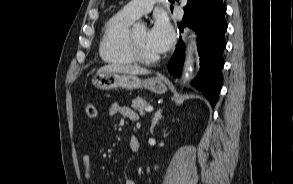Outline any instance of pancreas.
I'll use <instances>...</instances> for the list:
<instances>
[{
  "label": "pancreas",
  "mask_w": 293,
  "mask_h": 184,
  "mask_svg": "<svg viewBox=\"0 0 293 184\" xmlns=\"http://www.w3.org/2000/svg\"><path fill=\"white\" fill-rule=\"evenodd\" d=\"M146 106H147V102L141 97H137L136 99H134L132 101V105H131V107L134 110L139 111L140 113L143 112V110L146 108Z\"/></svg>",
  "instance_id": "cf45deb5"
}]
</instances>
